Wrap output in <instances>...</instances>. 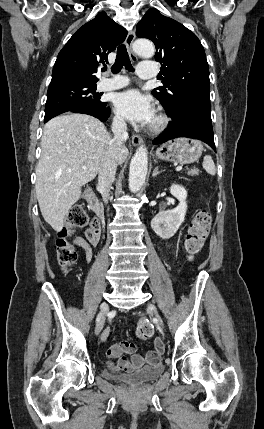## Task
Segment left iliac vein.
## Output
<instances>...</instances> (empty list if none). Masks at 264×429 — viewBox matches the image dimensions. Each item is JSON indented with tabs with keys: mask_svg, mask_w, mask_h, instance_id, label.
Returning a JSON list of instances; mask_svg holds the SVG:
<instances>
[{
	"mask_svg": "<svg viewBox=\"0 0 264 429\" xmlns=\"http://www.w3.org/2000/svg\"><path fill=\"white\" fill-rule=\"evenodd\" d=\"M148 308L154 313V317H156L159 320L161 328L163 330H166L167 326L165 325L164 318L160 315V312H157V310L154 308L152 304H148Z\"/></svg>",
	"mask_w": 264,
	"mask_h": 429,
	"instance_id": "4c4485c4",
	"label": "left iliac vein"
}]
</instances>
